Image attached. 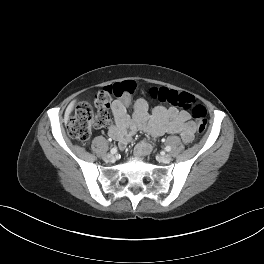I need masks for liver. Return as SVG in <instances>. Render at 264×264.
Masks as SVG:
<instances>
[{
  "instance_id": "1",
  "label": "liver",
  "mask_w": 264,
  "mask_h": 264,
  "mask_svg": "<svg viewBox=\"0 0 264 264\" xmlns=\"http://www.w3.org/2000/svg\"><path fill=\"white\" fill-rule=\"evenodd\" d=\"M75 103H76V100H73L72 102H70V104L66 108L65 115H64L65 122L69 119V115L71 114V112H72V110L74 108Z\"/></svg>"
}]
</instances>
